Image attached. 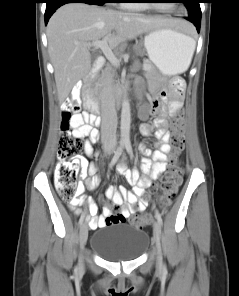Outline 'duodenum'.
I'll return each mask as SVG.
<instances>
[{
    "label": "duodenum",
    "mask_w": 239,
    "mask_h": 296,
    "mask_svg": "<svg viewBox=\"0 0 239 296\" xmlns=\"http://www.w3.org/2000/svg\"><path fill=\"white\" fill-rule=\"evenodd\" d=\"M103 61H104L103 57L98 56L95 60L91 75L85 80L83 84L82 83L76 84L74 89L75 97H77L78 94L83 92V105L85 106L86 109H88L94 114V117H95L94 125L97 127L100 126L101 120L98 117L99 106L93 94V84L100 68L102 67Z\"/></svg>",
    "instance_id": "duodenum-1"
}]
</instances>
